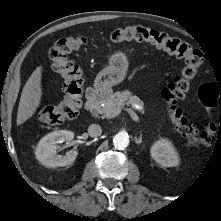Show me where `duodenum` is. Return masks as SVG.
I'll use <instances>...</instances> for the list:
<instances>
[{"label": "duodenum", "instance_id": "duodenum-1", "mask_svg": "<svg viewBox=\"0 0 221 221\" xmlns=\"http://www.w3.org/2000/svg\"><path fill=\"white\" fill-rule=\"evenodd\" d=\"M107 97V91L102 88H93L87 91L85 107L87 110H93Z\"/></svg>", "mask_w": 221, "mask_h": 221}]
</instances>
